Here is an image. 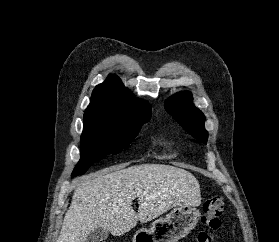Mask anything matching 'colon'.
<instances>
[{"label":"colon","instance_id":"5ec220e1","mask_svg":"<svg viewBox=\"0 0 279 242\" xmlns=\"http://www.w3.org/2000/svg\"><path fill=\"white\" fill-rule=\"evenodd\" d=\"M225 207V200L221 195H214L204 203V212L201 221L206 229L201 230L195 242H213V232L221 226V217Z\"/></svg>","mask_w":279,"mask_h":242}]
</instances>
